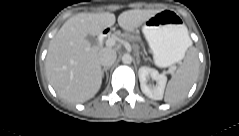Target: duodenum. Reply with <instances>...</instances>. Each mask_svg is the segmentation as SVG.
Instances as JSON below:
<instances>
[{
	"mask_svg": "<svg viewBox=\"0 0 239 136\" xmlns=\"http://www.w3.org/2000/svg\"><path fill=\"white\" fill-rule=\"evenodd\" d=\"M110 28L104 29L98 36L97 43L98 45H101L102 42L105 40L106 36L109 34Z\"/></svg>",
	"mask_w": 239,
	"mask_h": 136,
	"instance_id": "obj_1",
	"label": "duodenum"
}]
</instances>
